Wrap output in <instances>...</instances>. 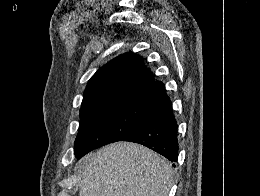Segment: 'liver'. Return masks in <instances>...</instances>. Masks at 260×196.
Masks as SVG:
<instances>
[{
  "instance_id": "1",
  "label": "liver",
  "mask_w": 260,
  "mask_h": 196,
  "mask_svg": "<svg viewBox=\"0 0 260 196\" xmlns=\"http://www.w3.org/2000/svg\"><path fill=\"white\" fill-rule=\"evenodd\" d=\"M79 196H168L172 168L153 150L115 142L79 160Z\"/></svg>"
}]
</instances>
